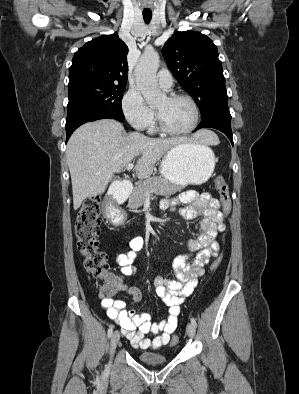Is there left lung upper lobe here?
Masks as SVG:
<instances>
[{"label": "left lung upper lobe", "instance_id": "left-lung-upper-lobe-1", "mask_svg": "<svg viewBox=\"0 0 299 394\" xmlns=\"http://www.w3.org/2000/svg\"><path fill=\"white\" fill-rule=\"evenodd\" d=\"M162 54L180 86L197 103L201 117L228 108L225 78L213 41L194 31L175 33Z\"/></svg>", "mask_w": 299, "mask_h": 394}]
</instances>
